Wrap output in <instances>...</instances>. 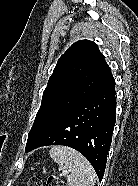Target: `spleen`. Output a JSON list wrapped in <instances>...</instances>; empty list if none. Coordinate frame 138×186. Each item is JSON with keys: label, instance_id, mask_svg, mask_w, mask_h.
<instances>
[{"label": "spleen", "instance_id": "spleen-1", "mask_svg": "<svg viewBox=\"0 0 138 186\" xmlns=\"http://www.w3.org/2000/svg\"><path fill=\"white\" fill-rule=\"evenodd\" d=\"M49 155L54 162L68 171L69 186H94L95 171L89 161L78 151L65 146H53Z\"/></svg>", "mask_w": 138, "mask_h": 186}]
</instances>
